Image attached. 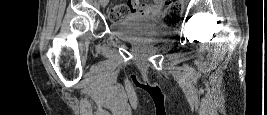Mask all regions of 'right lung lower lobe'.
I'll return each instance as SVG.
<instances>
[{"instance_id":"1","label":"right lung lower lobe","mask_w":267,"mask_h":115,"mask_svg":"<svg viewBox=\"0 0 267 115\" xmlns=\"http://www.w3.org/2000/svg\"><path fill=\"white\" fill-rule=\"evenodd\" d=\"M144 89H146L147 91H151L152 90L151 88H146V87H144Z\"/></svg>"}]
</instances>
